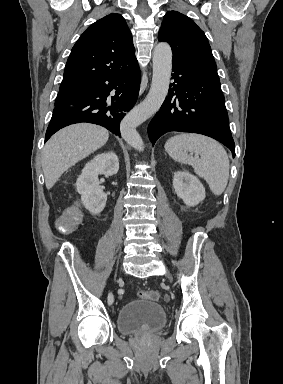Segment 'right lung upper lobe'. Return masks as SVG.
<instances>
[{"instance_id":"cb5924a9","label":"right lung upper lobe","mask_w":283,"mask_h":384,"mask_svg":"<svg viewBox=\"0 0 283 384\" xmlns=\"http://www.w3.org/2000/svg\"><path fill=\"white\" fill-rule=\"evenodd\" d=\"M136 65L126 21L120 14H109L89 26L75 43L60 91H78L93 81L128 72Z\"/></svg>"}]
</instances>
